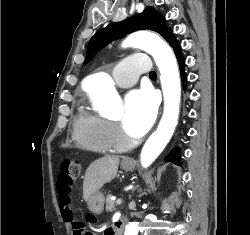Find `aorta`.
<instances>
[{
    "label": "aorta",
    "mask_w": 250,
    "mask_h": 235,
    "mask_svg": "<svg viewBox=\"0 0 250 235\" xmlns=\"http://www.w3.org/2000/svg\"><path fill=\"white\" fill-rule=\"evenodd\" d=\"M122 47L140 48L151 54L159 68L160 80L164 96V113L157 130L148 138L143 146L140 161L147 168L163 151L170 141L179 116V104L181 85L176 58L169 47L157 35L138 31L130 35L122 44ZM92 101L103 99L110 103L109 113L120 114V98L113 86L111 77L101 72L91 76L86 83ZM138 223L129 222L126 225L124 235H138Z\"/></svg>",
    "instance_id": "aorta-1"
}]
</instances>
